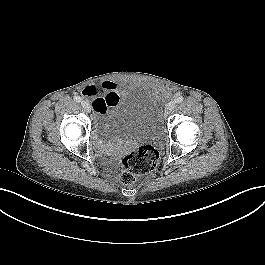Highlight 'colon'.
<instances>
[{"instance_id": "1", "label": "colon", "mask_w": 265, "mask_h": 265, "mask_svg": "<svg viewBox=\"0 0 265 265\" xmlns=\"http://www.w3.org/2000/svg\"><path fill=\"white\" fill-rule=\"evenodd\" d=\"M159 162V152L151 145H143L133 149L122 157L119 181L131 184L138 176L153 171Z\"/></svg>"}]
</instances>
